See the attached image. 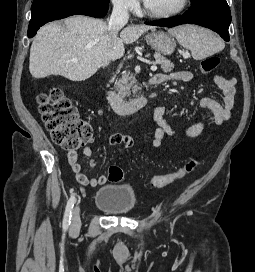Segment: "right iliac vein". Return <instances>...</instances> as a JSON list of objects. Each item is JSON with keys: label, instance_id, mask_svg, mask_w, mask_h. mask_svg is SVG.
Returning a JSON list of instances; mask_svg holds the SVG:
<instances>
[{"label": "right iliac vein", "instance_id": "63e3f726", "mask_svg": "<svg viewBox=\"0 0 255 272\" xmlns=\"http://www.w3.org/2000/svg\"><path fill=\"white\" fill-rule=\"evenodd\" d=\"M81 227L80 208L76 206L73 209L70 231L77 232Z\"/></svg>", "mask_w": 255, "mask_h": 272}]
</instances>
